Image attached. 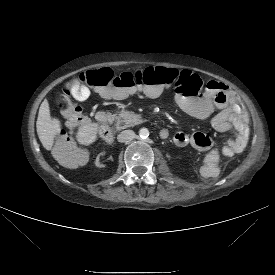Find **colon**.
I'll return each instance as SVG.
<instances>
[{
    "label": "colon",
    "instance_id": "1",
    "mask_svg": "<svg viewBox=\"0 0 275 275\" xmlns=\"http://www.w3.org/2000/svg\"><path fill=\"white\" fill-rule=\"evenodd\" d=\"M203 87L200 77L188 70H177L174 68L148 67L135 74L122 72L114 74L109 68L90 70L79 73L66 82L63 92L55 98V103L60 108L77 110L76 104L68 99L72 94L78 101H84L91 94L90 88L98 89L99 93L114 100H129L136 102L141 99L143 93L151 98L161 95L163 88H173L176 93L190 92L197 94ZM82 120L76 115L72 124L76 125ZM195 140H193V143ZM59 146L63 149L70 147L69 138L59 137ZM217 150V149H216ZM222 153L231 156L233 143L227 140L223 143Z\"/></svg>",
    "mask_w": 275,
    "mask_h": 275
}]
</instances>
